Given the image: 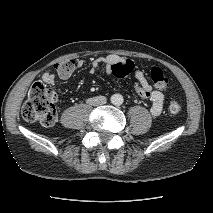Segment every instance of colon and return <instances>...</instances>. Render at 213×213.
Instances as JSON below:
<instances>
[{"instance_id":"obj_1","label":"colon","mask_w":213,"mask_h":213,"mask_svg":"<svg viewBox=\"0 0 213 213\" xmlns=\"http://www.w3.org/2000/svg\"><path fill=\"white\" fill-rule=\"evenodd\" d=\"M59 76L68 77L75 69L73 60H65L55 64ZM134 70L131 60H122L112 67V74L118 78L129 76ZM150 77L156 90L163 91L169 86V79L160 68H153ZM56 94L44 83L37 81L31 86L27 100L22 107V117L28 122H37L43 126H52L57 120ZM169 111L178 114L182 110L181 101L172 97L169 101Z\"/></svg>"}]
</instances>
